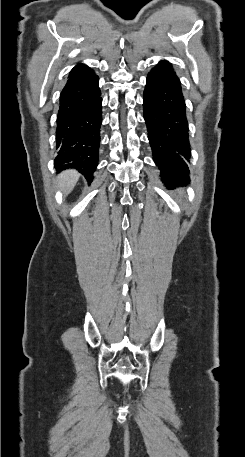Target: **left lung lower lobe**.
<instances>
[{"label": "left lung lower lobe", "instance_id": "obj_1", "mask_svg": "<svg viewBox=\"0 0 245 457\" xmlns=\"http://www.w3.org/2000/svg\"><path fill=\"white\" fill-rule=\"evenodd\" d=\"M143 109L162 181L167 187L181 185L189 179L191 147L181 83L169 62L160 61L148 74Z\"/></svg>", "mask_w": 245, "mask_h": 457}]
</instances>
